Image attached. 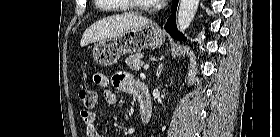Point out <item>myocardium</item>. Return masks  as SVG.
<instances>
[{"label":"myocardium","instance_id":"f54148a6","mask_svg":"<svg viewBox=\"0 0 280 137\" xmlns=\"http://www.w3.org/2000/svg\"><path fill=\"white\" fill-rule=\"evenodd\" d=\"M132 3V6L140 11H146V12H151L155 11L157 8V5H146V4H141L139 3V0H129Z\"/></svg>","mask_w":280,"mask_h":137}]
</instances>
